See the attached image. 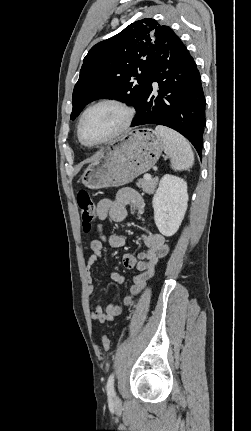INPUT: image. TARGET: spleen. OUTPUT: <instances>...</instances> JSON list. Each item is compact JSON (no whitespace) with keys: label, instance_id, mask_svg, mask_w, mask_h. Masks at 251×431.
Listing matches in <instances>:
<instances>
[{"label":"spleen","instance_id":"3e777b00","mask_svg":"<svg viewBox=\"0 0 251 431\" xmlns=\"http://www.w3.org/2000/svg\"><path fill=\"white\" fill-rule=\"evenodd\" d=\"M155 132L162 138L164 152L170 158L172 169L189 170L194 164V154L188 141L165 126H156Z\"/></svg>","mask_w":251,"mask_h":431}]
</instances>
